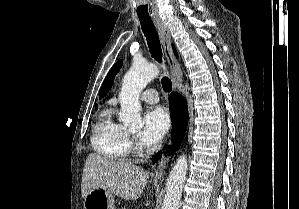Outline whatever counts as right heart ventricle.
<instances>
[{
    "instance_id": "right-heart-ventricle-1",
    "label": "right heart ventricle",
    "mask_w": 299,
    "mask_h": 209,
    "mask_svg": "<svg viewBox=\"0 0 299 209\" xmlns=\"http://www.w3.org/2000/svg\"><path fill=\"white\" fill-rule=\"evenodd\" d=\"M92 145L98 153L113 159H125L130 151L128 132L108 113L96 123Z\"/></svg>"
}]
</instances>
